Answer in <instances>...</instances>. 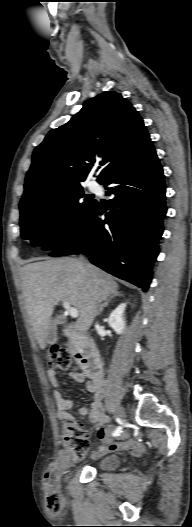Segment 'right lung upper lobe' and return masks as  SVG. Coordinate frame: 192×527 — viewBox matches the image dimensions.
<instances>
[{"label":"right lung upper lobe","instance_id":"obj_1","mask_svg":"<svg viewBox=\"0 0 192 527\" xmlns=\"http://www.w3.org/2000/svg\"><path fill=\"white\" fill-rule=\"evenodd\" d=\"M150 140L142 118L120 93L87 100L65 125L51 130L33 152L20 206L47 201L81 187L94 163L102 183Z\"/></svg>","mask_w":192,"mask_h":527}]
</instances>
